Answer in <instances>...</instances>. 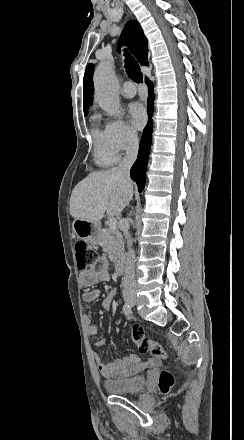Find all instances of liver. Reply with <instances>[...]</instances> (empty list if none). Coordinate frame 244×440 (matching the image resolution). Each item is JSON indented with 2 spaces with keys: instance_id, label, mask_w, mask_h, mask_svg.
Returning <instances> with one entry per match:
<instances>
[{
  "instance_id": "obj_1",
  "label": "liver",
  "mask_w": 244,
  "mask_h": 440,
  "mask_svg": "<svg viewBox=\"0 0 244 440\" xmlns=\"http://www.w3.org/2000/svg\"><path fill=\"white\" fill-rule=\"evenodd\" d=\"M132 196V182L126 186L118 168L92 172L75 186L70 198V216L92 224L100 222L105 212L111 218L120 216Z\"/></svg>"
}]
</instances>
